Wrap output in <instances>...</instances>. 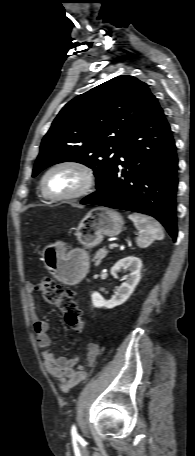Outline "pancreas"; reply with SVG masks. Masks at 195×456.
I'll use <instances>...</instances> for the list:
<instances>
[{"label":"pancreas","instance_id":"obj_1","mask_svg":"<svg viewBox=\"0 0 195 456\" xmlns=\"http://www.w3.org/2000/svg\"><path fill=\"white\" fill-rule=\"evenodd\" d=\"M108 254V251L105 247L99 249L96 254L94 255V258L92 261L95 263L96 266L100 265L102 259H104Z\"/></svg>","mask_w":195,"mask_h":456}]
</instances>
